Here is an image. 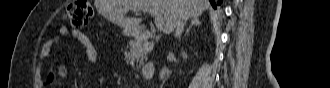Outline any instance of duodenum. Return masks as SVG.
<instances>
[{"instance_id":"410a0bca","label":"duodenum","mask_w":330,"mask_h":88,"mask_svg":"<svg viewBox=\"0 0 330 88\" xmlns=\"http://www.w3.org/2000/svg\"><path fill=\"white\" fill-rule=\"evenodd\" d=\"M147 37H148V34H147L146 30L139 29V30L135 31L134 44H140V43L144 42ZM154 68H155L154 64H152V63L146 64L143 68V74L145 76L151 75L154 71Z\"/></svg>"}]
</instances>
